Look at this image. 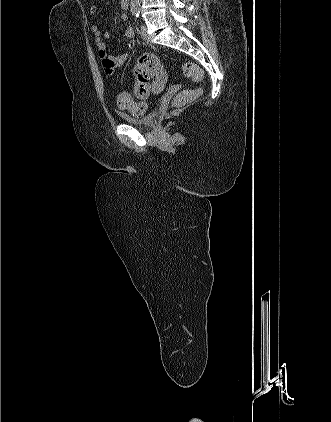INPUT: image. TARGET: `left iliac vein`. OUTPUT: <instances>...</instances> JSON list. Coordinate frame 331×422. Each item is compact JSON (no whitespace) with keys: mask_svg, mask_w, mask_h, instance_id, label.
I'll list each match as a JSON object with an SVG mask.
<instances>
[{"mask_svg":"<svg viewBox=\"0 0 331 422\" xmlns=\"http://www.w3.org/2000/svg\"><path fill=\"white\" fill-rule=\"evenodd\" d=\"M141 35H142V37H143V39H144L145 41H147V42H149V41H150L149 36H148V33H147V29H146V26H145V25H142V26H141Z\"/></svg>","mask_w":331,"mask_h":422,"instance_id":"4c4485c4","label":"left iliac vein"}]
</instances>
